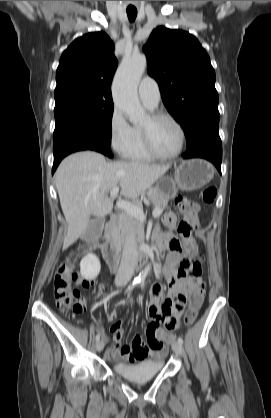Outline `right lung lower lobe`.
<instances>
[{
	"label": "right lung lower lobe",
	"instance_id": "obj_1",
	"mask_svg": "<svg viewBox=\"0 0 271 418\" xmlns=\"http://www.w3.org/2000/svg\"><path fill=\"white\" fill-rule=\"evenodd\" d=\"M109 145L110 139L103 134H92L58 143L53 146L54 164L52 173H54L60 161L65 156L76 151L94 150L108 157H112Z\"/></svg>",
	"mask_w": 271,
	"mask_h": 418
}]
</instances>
